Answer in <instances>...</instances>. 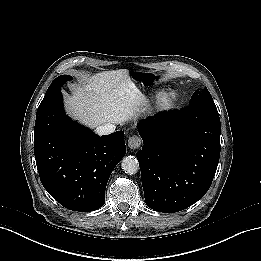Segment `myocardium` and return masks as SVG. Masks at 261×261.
<instances>
[{"label": "myocardium", "instance_id": "myocardium-1", "mask_svg": "<svg viewBox=\"0 0 261 261\" xmlns=\"http://www.w3.org/2000/svg\"><path fill=\"white\" fill-rule=\"evenodd\" d=\"M174 106V99L172 97L162 98L157 106L156 111L159 113H163L169 111Z\"/></svg>", "mask_w": 261, "mask_h": 261}]
</instances>
